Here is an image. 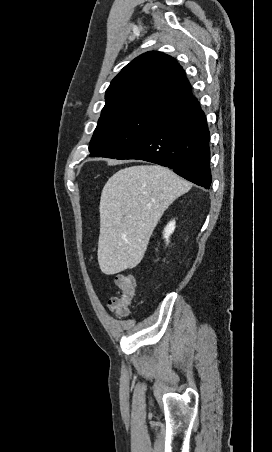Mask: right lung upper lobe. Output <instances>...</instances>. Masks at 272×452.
Returning a JSON list of instances; mask_svg holds the SVG:
<instances>
[{"label": "right lung upper lobe", "instance_id": "cb5924a9", "mask_svg": "<svg viewBox=\"0 0 272 452\" xmlns=\"http://www.w3.org/2000/svg\"><path fill=\"white\" fill-rule=\"evenodd\" d=\"M101 118L128 111L170 113L193 98L182 67L161 52H147L126 65L106 91Z\"/></svg>", "mask_w": 272, "mask_h": 452}]
</instances>
